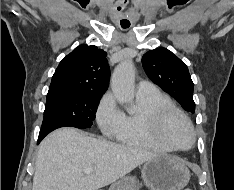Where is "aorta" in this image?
I'll return each instance as SVG.
<instances>
[{
    "label": "aorta",
    "mask_w": 234,
    "mask_h": 190,
    "mask_svg": "<svg viewBox=\"0 0 234 190\" xmlns=\"http://www.w3.org/2000/svg\"><path fill=\"white\" fill-rule=\"evenodd\" d=\"M111 88L119 103H129L134 98V66L132 60L122 61L114 70Z\"/></svg>",
    "instance_id": "762f6f07"
}]
</instances>
